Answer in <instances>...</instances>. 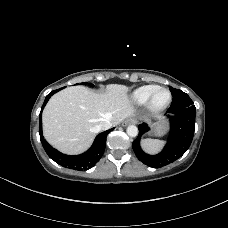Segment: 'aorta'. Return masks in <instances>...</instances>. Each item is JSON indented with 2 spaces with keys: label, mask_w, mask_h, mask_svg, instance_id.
<instances>
[{
  "label": "aorta",
  "mask_w": 228,
  "mask_h": 228,
  "mask_svg": "<svg viewBox=\"0 0 228 228\" xmlns=\"http://www.w3.org/2000/svg\"><path fill=\"white\" fill-rule=\"evenodd\" d=\"M126 131L130 137H136L138 135V128L135 125L128 126Z\"/></svg>",
  "instance_id": "obj_1"
}]
</instances>
